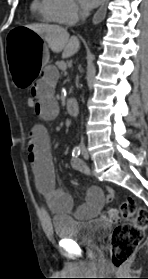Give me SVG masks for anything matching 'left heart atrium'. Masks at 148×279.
Wrapping results in <instances>:
<instances>
[{
  "instance_id": "left-heart-atrium-1",
  "label": "left heart atrium",
  "mask_w": 148,
  "mask_h": 279,
  "mask_svg": "<svg viewBox=\"0 0 148 279\" xmlns=\"http://www.w3.org/2000/svg\"><path fill=\"white\" fill-rule=\"evenodd\" d=\"M102 0H80L81 4L87 8L97 6Z\"/></svg>"
}]
</instances>
